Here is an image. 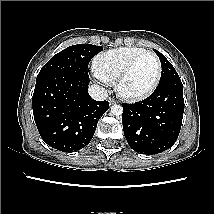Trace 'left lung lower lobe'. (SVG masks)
Masks as SVG:
<instances>
[{"label":"left lung lower lobe","mask_w":214,"mask_h":214,"mask_svg":"<svg viewBox=\"0 0 214 214\" xmlns=\"http://www.w3.org/2000/svg\"><path fill=\"white\" fill-rule=\"evenodd\" d=\"M122 107L123 130L129 146L141 154L161 153L176 142L181 129L184 113L181 80L158 85L145 100L122 103Z\"/></svg>","instance_id":"0a47b994"}]
</instances>
